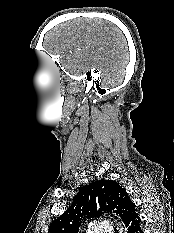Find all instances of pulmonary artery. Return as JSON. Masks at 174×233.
<instances>
[{
  "label": "pulmonary artery",
  "instance_id": "1",
  "mask_svg": "<svg viewBox=\"0 0 174 233\" xmlns=\"http://www.w3.org/2000/svg\"><path fill=\"white\" fill-rule=\"evenodd\" d=\"M97 233H113L112 226L107 222H100L96 227Z\"/></svg>",
  "mask_w": 174,
  "mask_h": 233
}]
</instances>
